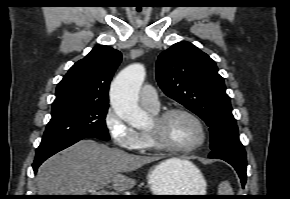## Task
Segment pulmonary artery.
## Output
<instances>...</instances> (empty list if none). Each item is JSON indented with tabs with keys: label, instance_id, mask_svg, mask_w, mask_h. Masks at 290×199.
<instances>
[{
	"label": "pulmonary artery",
	"instance_id": "e3ab8cb5",
	"mask_svg": "<svg viewBox=\"0 0 290 199\" xmlns=\"http://www.w3.org/2000/svg\"><path fill=\"white\" fill-rule=\"evenodd\" d=\"M141 105L150 111H157L159 108V98L156 89L151 85H144L139 92Z\"/></svg>",
	"mask_w": 290,
	"mask_h": 199
}]
</instances>
